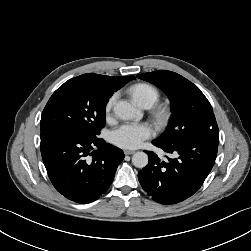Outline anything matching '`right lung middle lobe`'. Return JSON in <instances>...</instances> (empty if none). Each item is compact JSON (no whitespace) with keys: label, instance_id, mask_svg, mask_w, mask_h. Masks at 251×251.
<instances>
[{"label":"right lung middle lobe","instance_id":"1","mask_svg":"<svg viewBox=\"0 0 251 251\" xmlns=\"http://www.w3.org/2000/svg\"><path fill=\"white\" fill-rule=\"evenodd\" d=\"M111 96L96 80L78 76L66 81L43 110L41 132L63 129L83 137H97L105 126V107Z\"/></svg>","mask_w":251,"mask_h":251}]
</instances>
